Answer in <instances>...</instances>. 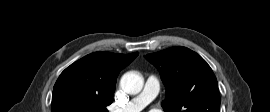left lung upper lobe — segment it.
Segmentation results:
<instances>
[{
  "label": "left lung upper lobe",
  "mask_w": 270,
  "mask_h": 112,
  "mask_svg": "<svg viewBox=\"0 0 270 112\" xmlns=\"http://www.w3.org/2000/svg\"><path fill=\"white\" fill-rule=\"evenodd\" d=\"M166 87L165 112H219L217 79L207 62L186 47L145 55Z\"/></svg>",
  "instance_id": "obj_1"
}]
</instances>
